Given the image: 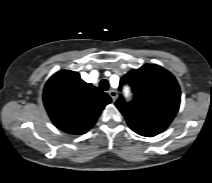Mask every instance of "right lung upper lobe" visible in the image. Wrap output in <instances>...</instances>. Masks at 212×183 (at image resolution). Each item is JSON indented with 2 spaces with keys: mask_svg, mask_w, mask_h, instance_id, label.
Returning a JSON list of instances; mask_svg holds the SVG:
<instances>
[{
  "mask_svg": "<svg viewBox=\"0 0 212 183\" xmlns=\"http://www.w3.org/2000/svg\"><path fill=\"white\" fill-rule=\"evenodd\" d=\"M43 100L54 125L70 134L86 133L111 102L109 95L69 70L57 72L47 81Z\"/></svg>",
  "mask_w": 212,
  "mask_h": 183,
  "instance_id": "cb5924a9",
  "label": "right lung upper lobe"
}]
</instances>
